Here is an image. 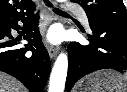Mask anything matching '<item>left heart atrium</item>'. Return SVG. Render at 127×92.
<instances>
[{"label": "left heart atrium", "mask_w": 127, "mask_h": 92, "mask_svg": "<svg viewBox=\"0 0 127 92\" xmlns=\"http://www.w3.org/2000/svg\"><path fill=\"white\" fill-rule=\"evenodd\" d=\"M48 40L52 43H56L59 41L60 39V33L57 30H52L49 32L48 36H47Z\"/></svg>", "instance_id": "left-heart-atrium-1"}]
</instances>
